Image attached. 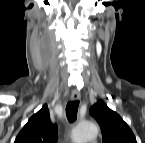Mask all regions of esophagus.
<instances>
[{"instance_id":"obj_1","label":"esophagus","mask_w":145,"mask_h":143,"mask_svg":"<svg viewBox=\"0 0 145 143\" xmlns=\"http://www.w3.org/2000/svg\"><path fill=\"white\" fill-rule=\"evenodd\" d=\"M81 95H80V92L77 91V90H73L72 93H71V99L73 101H78L80 99Z\"/></svg>"}]
</instances>
